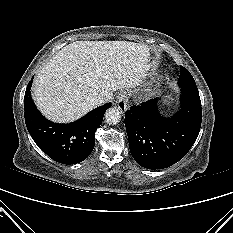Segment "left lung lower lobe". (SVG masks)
I'll return each mask as SVG.
<instances>
[{
	"label": "left lung lower lobe",
	"mask_w": 233,
	"mask_h": 233,
	"mask_svg": "<svg viewBox=\"0 0 233 233\" xmlns=\"http://www.w3.org/2000/svg\"><path fill=\"white\" fill-rule=\"evenodd\" d=\"M180 110L163 117L157 100L131 106L125 115L130 152L147 169L167 168L181 160L200 131L202 107L196 85L181 86Z\"/></svg>",
	"instance_id": "0a47b994"
}]
</instances>
